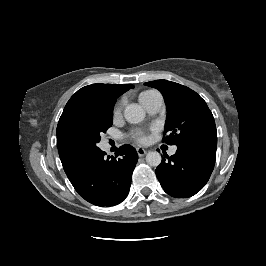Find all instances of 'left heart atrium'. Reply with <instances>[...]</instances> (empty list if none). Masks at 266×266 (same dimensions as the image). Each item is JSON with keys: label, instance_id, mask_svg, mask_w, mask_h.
<instances>
[{"label": "left heart atrium", "instance_id": "left-heart-atrium-1", "mask_svg": "<svg viewBox=\"0 0 266 266\" xmlns=\"http://www.w3.org/2000/svg\"><path fill=\"white\" fill-rule=\"evenodd\" d=\"M132 137L140 143H145L148 140L146 134L142 130L134 131Z\"/></svg>", "mask_w": 266, "mask_h": 266}]
</instances>
